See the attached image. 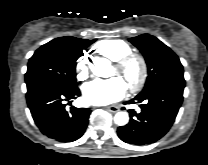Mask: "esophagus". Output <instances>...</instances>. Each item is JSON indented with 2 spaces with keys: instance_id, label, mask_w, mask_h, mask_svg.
I'll return each mask as SVG.
<instances>
[{
  "instance_id": "esophagus-1",
  "label": "esophagus",
  "mask_w": 208,
  "mask_h": 165,
  "mask_svg": "<svg viewBox=\"0 0 208 165\" xmlns=\"http://www.w3.org/2000/svg\"><path fill=\"white\" fill-rule=\"evenodd\" d=\"M105 109L108 110L109 112H113V113H115L119 110V108L116 106L105 107Z\"/></svg>"
}]
</instances>
